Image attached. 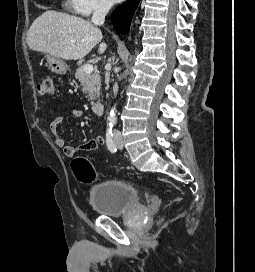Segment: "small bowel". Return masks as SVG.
Masks as SVG:
<instances>
[{
    "instance_id": "obj_1",
    "label": "small bowel",
    "mask_w": 255,
    "mask_h": 272,
    "mask_svg": "<svg viewBox=\"0 0 255 272\" xmlns=\"http://www.w3.org/2000/svg\"><path fill=\"white\" fill-rule=\"evenodd\" d=\"M72 113L73 116L76 118H81L84 115L83 111L79 108L74 109ZM64 120V116H56L50 123V131L53 135L52 140L54 145L61 148L65 156L73 157L78 150L93 151L104 144V138L102 135H97L88 141L82 142L78 147L67 144L65 139L60 135L59 132V128L63 124Z\"/></svg>"
}]
</instances>
